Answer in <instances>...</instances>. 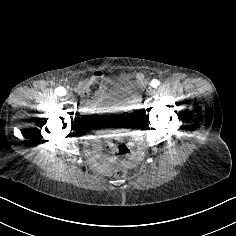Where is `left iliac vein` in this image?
I'll list each match as a JSON object with an SVG mask.
<instances>
[{"label": "left iliac vein", "instance_id": "4c4485c4", "mask_svg": "<svg viewBox=\"0 0 236 236\" xmlns=\"http://www.w3.org/2000/svg\"><path fill=\"white\" fill-rule=\"evenodd\" d=\"M144 94L147 96V97H152L154 96L155 94V90L152 88V87H149L147 88L145 91H144Z\"/></svg>", "mask_w": 236, "mask_h": 236}]
</instances>
